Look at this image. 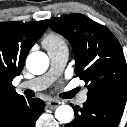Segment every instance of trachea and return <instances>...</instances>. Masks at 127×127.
Instances as JSON below:
<instances>
[{"label": "trachea", "mask_w": 127, "mask_h": 127, "mask_svg": "<svg viewBox=\"0 0 127 127\" xmlns=\"http://www.w3.org/2000/svg\"><path fill=\"white\" fill-rule=\"evenodd\" d=\"M25 93H26V95H29L30 92H29V90H26ZM29 96H31V95H29Z\"/></svg>", "instance_id": "trachea-1"}]
</instances>
